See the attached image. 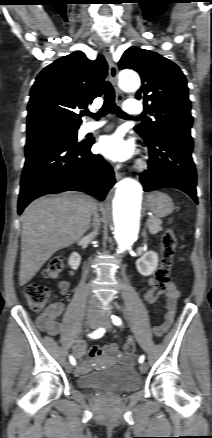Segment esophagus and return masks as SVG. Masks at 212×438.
I'll return each mask as SVG.
<instances>
[{"mask_svg": "<svg viewBox=\"0 0 212 438\" xmlns=\"http://www.w3.org/2000/svg\"><path fill=\"white\" fill-rule=\"evenodd\" d=\"M103 54L107 60L108 66H109V77H110V81L115 89L116 99L118 102H121L123 99V93L121 92V90L119 89L118 84H117L118 69L112 60L111 51H110V47L108 44H106L104 46ZM115 178L117 180H120L122 178V173L119 172L118 170H115Z\"/></svg>", "mask_w": 212, "mask_h": 438, "instance_id": "34e87169", "label": "esophagus"}]
</instances>
